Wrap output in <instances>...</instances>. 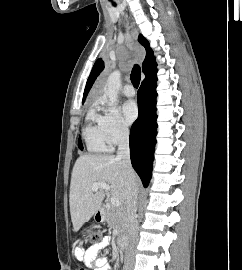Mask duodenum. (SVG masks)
<instances>
[{
    "label": "duodenum",
    "mask_w": 242,
    "mask_h": 270,
    "mask_svg": "<svg viewBox=\"0 0 242 270\" xmlns=\"http://www.w3.org/2000/svg\"><path fill=\"white\" fill-rule=\"evenodd\" d=\"M97 215H98L97 221H100V216L102 215V211L98 212ZM126 244H127L126 236L121 235L118 240V247L121 249H124L126 247Z\"/></svg>",
    "instance_id": "410a0bca"
}]
</instances>
